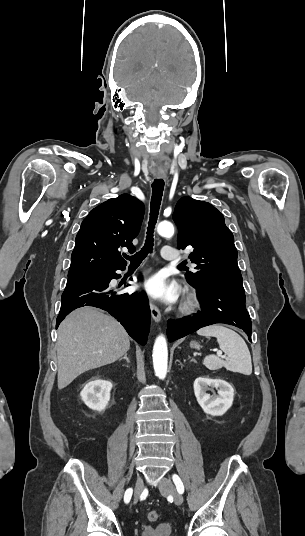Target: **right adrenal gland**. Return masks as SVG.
Masks as SVG:
<instances>
[{"mask_svg":"<svg viewBox=\"0 0 305 536\" xmlns=\"http://www.w3.org/2000/svg\"><path fill=\"white\" fill-rule=\"evenodd\" d=\"M120 360H126L127 364H130L129 358H127V354H125L124 358H120Z\"/></svg>","mask_w":305,"mask_h":536,"instance_id":"obj_1","label":"right adrenal gland"}]
</instances>
